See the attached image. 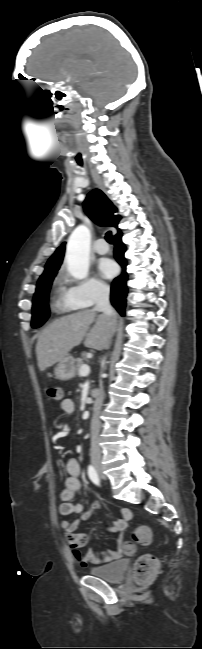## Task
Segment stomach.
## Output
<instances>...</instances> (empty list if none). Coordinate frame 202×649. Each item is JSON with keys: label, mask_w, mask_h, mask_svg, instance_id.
<instances>
[{"label": "stomach", "mask_w": 202, "mask_h": 649, "mask_svg": "<svg viewBox=\"0 0 202 649\" xmlns=\"http://www.w3.org/2000/svg\"><path fill=\"white\" fill-rule=\"evenodd\" d=\"M78 370V361L71 355H67L58 362L54 369L56 379L69 380L75 377Z\"/></svg>", "instance_id": "obj_1"}]
</instances>
